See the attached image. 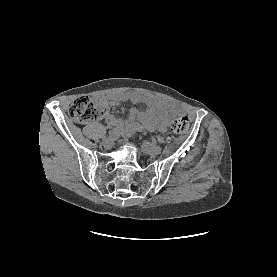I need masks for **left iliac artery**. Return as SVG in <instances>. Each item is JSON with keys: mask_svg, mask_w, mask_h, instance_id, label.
I'll list each match as a JSON object with an SVG mask.
<instances>
[{"mask_svg": "<svg viewBox=\"0 0 277 277\" xmlns=\"http://www.w3.org/2000/svg\"><path fill=\"white\" fill-rule=\"evenodd\" d=\"M155 140H156L158 143H165L164 138L161 137V136H156V137H155Z\"/></svg>", "mask_w": 277, "mask_h": 277, "instance_id": "44dca946", "label": "left iliac artery"}]
</instances>
